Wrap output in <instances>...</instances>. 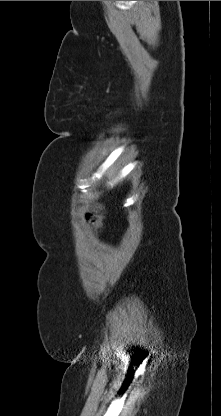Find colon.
Here are the masks:
<instances>
[{"mask_svg": "<svg viewBox=\"0 0 221 416\" xmlns=\"http://www.w3.org/2000/svg\"><path fill=\"white\" fill-rule=\"evenodd\" d=\"M86 221L93 227H99L102 223L101 207L92 206L85 215Z\"/></svg>", "mask_w": 221, "mask_h": 416, "instance_id": "obj_1", "label": "colon"}]
</instances>
